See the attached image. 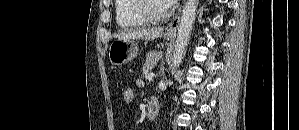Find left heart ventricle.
Listing matches in <instances>:
<instances>
[{
    "label": "left heart ventricle",
    "mask_w": 299,
    "mask_h": 130,
    "mask_svg": "<svg viewBox=\"0 0 299 130\" xmlns=\"http://www.w3.org/2000/svg\"><path fill=\"white\" fill-rule=\"evenodd\" d=\"M166 4L163 1L152 3L153 10L156 12H164Z\"/></svg>",
    "instance_id": "left-heart-ventricle-1"
}]
</instances>
